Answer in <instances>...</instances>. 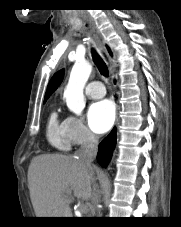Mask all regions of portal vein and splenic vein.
<instances>
[{
    "label": "portal vein and splenic vein",
    "mask_w": 181,
    "mask_h": 227,
    "mask_svg": "<svg viewBox=\"0 0 181 227\" xmlns=\"http://www.w3.org/2000/svg\"><path fill=\"white\" fill-rule=\"evenodd\" d=\"M80 210H81V211H86V210H87V206H85V205L81 206V207H80Z\"/></svg>",
    "instance_id": "1"
}]
</instances>
